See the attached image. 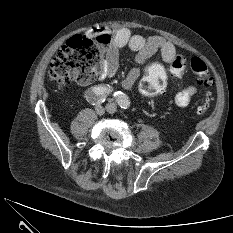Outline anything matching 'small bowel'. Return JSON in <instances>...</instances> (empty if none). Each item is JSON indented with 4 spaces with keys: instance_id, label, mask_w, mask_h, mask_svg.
<instances>
[{
    "instance_id": "1",
    "label": "small bowel",
    "mask_w": 233,
    "mask_h": 233,
    "mask_svg": "<svg viewBox=\"0 0 233 233\" xmlns=\"http://www.w3.org/2000/svg\"><path fill=\"white\" fill-rule=\"evenodd\" d=\"M99 31L112 38L106 58L102 63L99 75L100 80H104L115 74L118 67V53L124 47H128L136 52V61L139 64L149 62L154 54L160 53L162 60L169 65L176 56L175 46L160 36L146 38L138 34H133L127 28H110ZM139 76L140 71L138 69L131 70L123 79L122 87L130 89L136 83ZM196 92L197 88L194 85H189L181 90L175 96L176 105L178 107L187 106Z\"/></svg>"
}]
</instances>
